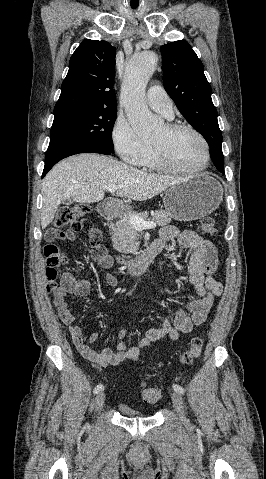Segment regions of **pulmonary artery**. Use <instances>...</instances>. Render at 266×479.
<instances>
[{
	"label": "pulmonary artery",
	"instance_id": "e3ab8cb5",
	"mask_svg": "<svg viewBox=\"0 0 266 479\" xmlns=\"http://www.w3.org/2000/svg\"><path fill=\"white\" fill-rule=\"evenodd\" d=\"M147 103L153 110L166 118L173 117L172 101L166 91L159 85L152 86L147 92Z\"/></svg>",
	"mask_w": 266,
	"mask_h": 479
}]
</instances>
